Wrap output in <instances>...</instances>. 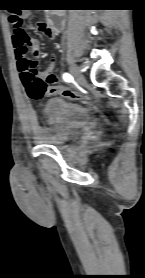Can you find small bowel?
<instances>
[{"label":"small bowel","instance_id":"c3829d8e","mask_svg":"<svg viewBox=\"0 0 145 278\" xmlns=\"http://www.w3.org/2000/svg\"><path fill=\"white\" fill-rule=\"evenodd\" d=\"M23 16L28 18L29 13L26 11L24 12ZM38 30L42 32L45 38L48 40H53L56 36V33L50 30L44 22L38 24ZM31 40L32 42L26 46H17V43L14 39V46L17 49H25L26 52L29 49L37 52L41 47V43L35 38H31ZM16 68L24 91L31 100L41 101L45 96L48 95H62L68 98L74 97L67 95L64 92V90L67 88H63L55 84L56 76L52 69L36 74V63L28 57H18L16 55ZM31 92L35 93V96H31ZM28 124L33 132H37L39 130V123L35 115H31V117L28 119Z\"/></svg>","mask_w":145,"mask_h":278}]
</instances>
